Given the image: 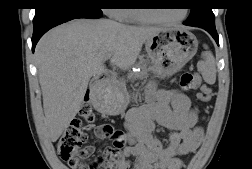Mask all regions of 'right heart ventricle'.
I'll list each match as a JSON object with an SVG mask.
<instances>
[{
    "instance_id": "obj_1",
    "label": "right heart ventricle",
    "mask_w": 252,
    "mask_h": 169,
    "mask_svg": "<svg viewBox=\"0 0 252 169\" xmlns=\"http://www.w3.org/2000/svg\"><path fill=\"white\" fill-rule=\"evenodd\" d=\"M123 20L129 23L141 22V20L137 17L134 9H125Z\"/></svg>"
}]
</instances>
